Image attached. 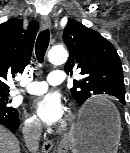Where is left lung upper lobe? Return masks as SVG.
<instances>
[{
	"instance_id": "obj_1",
	"label": "left lung upper lobe",
	"mask_w": 130,
	"mask_h": 153,
	"mask_svg": "<svg viewBox=\"0 0 130 153\" xmlns=\"http://www.w3.org/2000/svg\"><path fill=\"white\" fill-rule=\"evenodd\" d=\"M63 40L70 56L65 71L80 70L81 80H74L71 93L78 103L94 100L96 95H112L125 100L121 60L114 46L97 31L69 18ZM90 100V101H91Z\"/></svg>"
}]
</instances>
